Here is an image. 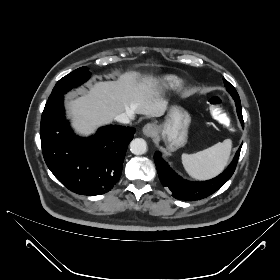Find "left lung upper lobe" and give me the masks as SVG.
Listing matches in <instances>:
<instances>
[{
    "label": "left lung upper lobe",
    "instance_id": "1",
    "mask_svg": "<svg viewBox=\"0 0 280 280\" xmlns=\"http://www.w3.org/2000/svg\"><path fill=\"white\" fill-rule=\"evenodd\" d=\"M226 90L231 94L234 99H240L236 89L225 79H223Z\"/></svg>",
    "mask_w": 280,
    "mask_h": 280
}]
</instances>
